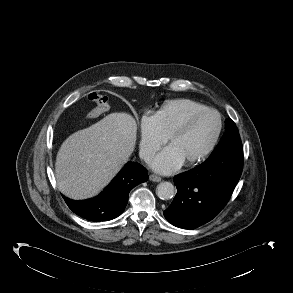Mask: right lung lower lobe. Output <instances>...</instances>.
<instances>
[{
	"label": "right lung lower lobe",
	"instance_id": "right-lung-lower-lobe-1",
	"mask_svg": "<svg viewBox=\"0 0 293 293\" xmlns=\"http://www.w3.org/2000/svg\"><path fill=\"white\" fill-rule=\"evenodd\" d=\"M148 174L139 163L128 162L97 197L75 201L63 196L77 215L90 221H107L119 216L128 202V195L137 184L146 182Z\"/></svg>",
	"mask_w": 293,
	"mask_h": 293
}]
</instances>
